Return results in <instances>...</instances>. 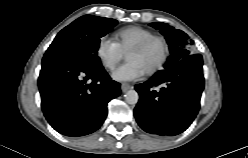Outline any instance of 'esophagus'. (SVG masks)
I'll return each instance as SVG.
<instances>
[{
	"label": "esophagus",
	"instance_id": "34e87169",
	"mask_svg": "<svg viewBox=\"0 0 248 158\" xmlns=\"http://www.w3.org/2000/svg\"><path fill=\"white\" fill-rule=\"evenodd\" d=\"M132 87H131V85H129V84H127V83H122L121 84V90H122V92H126V91H128L129 89H131Z\"/></svg>",
	"mask_w": 248,
	"mask_h": 158
}]
</instances>
